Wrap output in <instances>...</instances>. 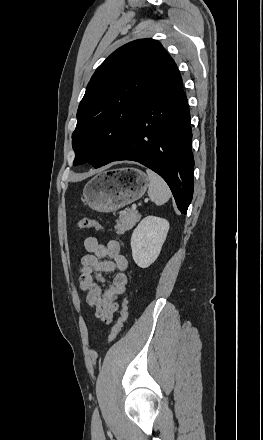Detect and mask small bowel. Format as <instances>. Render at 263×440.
<instances>
[{
    "label": "small bowel",
    "mask_w": 263,
    "mask_h": 440,
    "mask_svg": "<svg viewBox=\"0 0 263 440\" xmlns=\"http://www.w3.org/2000/svg\"><path fill=\"white\" fill-rule=\"evenodd\" d=\"M84 248L88 253L81 258L79 288L85 293L86 302L95 316L110 323L118 308L116 301L127 287L128 261L120 253L119 243L114 240L104 245L95 237H87ZM113 271H117L116 275L103 289L99 284L105 282L103 274Z\"/></svg>",
    "instance_id": "1"
}]
</instances>
